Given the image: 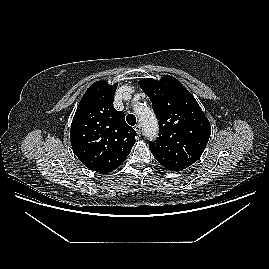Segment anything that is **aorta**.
<instances>
[{
  "mask_svg": "<svg viewBox=\"0 0 269 269\" xmlns=\"http://www.w3.org/2000/svg\"><path fill=\"white\" fill-rule=\"evenodd\" d=\"M135 112L139 117L144 135L150 140L154 139L158 133V121L152 109L147 105H138L135 107Z\"/></svg>",
  "mask_w": 269,
  "mask_h": 269,
  "instance_id": "aorta-1",
  "label": "aorta"
}]
</instances>
